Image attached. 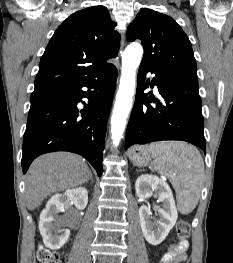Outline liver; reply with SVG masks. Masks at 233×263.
I'll list each match as a JSON object with an SVG mask.
<instances>
[{
	"instance_id": "obj_1",
	"label": "liver",
	"mask_w": 233,
	"mask_h": 263,
	"mask_svg": "<svg viewBox=\"0 0 233 263\" xmlns=\"http://www.w3.org/2000/svg\"><path fill=\"white\" fill-rule=\"evenodd\" d=\"M90 174L84 160L76 154L56 152L38 157L26 174L27 208L34 210L48 195L86 183Z\"/></svg>"
}]
</instances>
